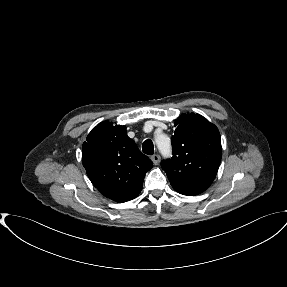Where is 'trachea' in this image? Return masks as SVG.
<instances>
[{
  "instance_id": "trachea-1",
  "label": "trachea",
  "mask_w": 287,
  "mask_h": 287,
  "mask_svg": "<svg viewBox=\"0 0 287 287\" xmlns=\"http://www.w3.org/2000/svg\"><path fill=\"white\" fill-rule=\"evenodd\" d=\"M142 150L147 155H152L154 153V145L151 140H145L142 144Z\"/></svg>"
}]
</instances>
